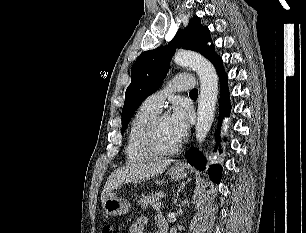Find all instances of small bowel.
<instances>
[{
	"label": "small bowel",
	"instance_id": "small-bowel-1",
	"mask_svg": "<svg viewBox=\"0 0 306 233\" xmlns=\"http://www.w3.org/2000/svg\"><path fill=\"white\" fill-rule=\"evenodd\" d=\"M147 220L145 218H139L136 220L130 227L129 233H144V228L146 226ZM158 228L161 225H167L165 220L162 217L157 219Z\"/></svg>",
	"mask_w": 306,
	"mask_h": 233
}]
</instances>
